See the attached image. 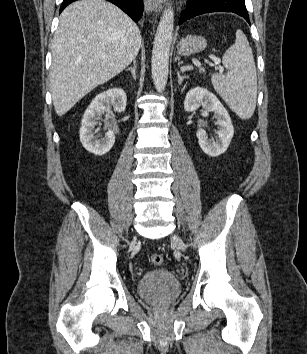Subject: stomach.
<instances>
[{"instance_id":"obj_1","label":"stomach","mask_w":307,"mask_h":354,"mask_svg":"<svg viewBox=\"0 0 307 354\" xmlns=\"http://www.w3.org/2000/svg\"><path fill=\"white\" fill-rule=\"evenodd\" d=\"M207 46L204 37L198 35H187L177 45L179 55H191L203 51Z\"/></svg>"}]
</instances>
